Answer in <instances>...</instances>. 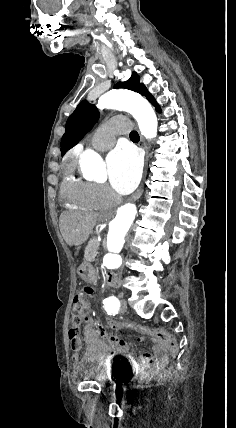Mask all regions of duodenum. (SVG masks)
<instances>
[{
  "instance_id": "1",
  "label": "duodenum",
  "mask_w": 236,
  "mask_h": 428,
  "mask_svg": "<svg viewBox=\"0 0 236 428\" xmlns=\"http://www.w3.org/2000/svg\"><path fill=\"white\" fill-rule=\"evenodd\" d=\"M116 283H117V274L113 272L107 273L105 276L106 287L109 289L114 288L116 286Z\"/></svg>"
}]
</instances>
